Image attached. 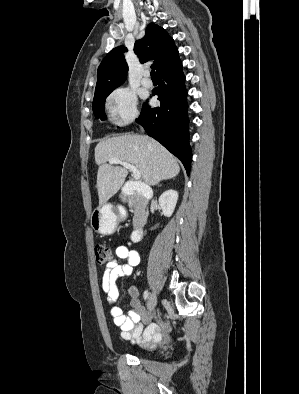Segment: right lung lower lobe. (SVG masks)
I'll use <instances>...</instances> for the list:
<instances>
[{"instance_id":"obj_1","label":"right lung lower lobe","mask_w":299,"mask_h":394,"mask_svg":"<svg viewBox=\"0 0 299 394\" xmlns=\"http://www.w3.org/2000/svg\"><path fill=\"white\" fill-rule=\"evenodd\" d=\"M158 87L152 95H158L160 106L150 108L144 103L139 119L146 132L159 141L183 163L187 174L192 159L189 145L187 118V91L182 62L176 59L157 73Z\"/></svg>"}]
</instances>
